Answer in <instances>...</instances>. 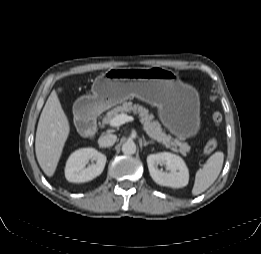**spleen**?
Returning <instances> with one entry per match:
<instances>
[{
	"instance_id": "obj_1",
	"label": "spleen",
	"mask_w": 261,
	"mask_h": 254,
	"mask_svg": "<svg viewBox=\"0 0 261 254\" xmlns=\"http://www.w3.org/2000/svg\"><path fill=\"white\" fill-rule=\"evenodd\" d=\"M223 161V152H215L207 159L203 168L196 172L192 189L194 196L203 193L215 182L222 170Z\"/></svg>"
}]
</instances>
